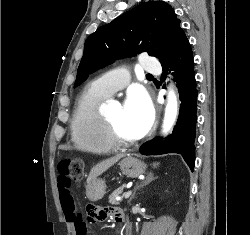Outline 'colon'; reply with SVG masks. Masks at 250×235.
<instances>
[{
  "instance_id": "colon-1",
  "label": "colon",
  "mask_w": 250,
  "mask_h": 235,
  "mask_svg": "<svg viewBox=\"0 0 250 235\" xmlns=\"http://www.w3.org/2000/svg\"><path fill=\"white\" fill-rule=\"evenodd\" d=\"M59 170V186L65 189H70L71 184L73 182H77L82 179L84 174V166L82 159L75 158V159H68L62 160L58 164ZM94 210L96 208H93ZM89 220H91V216L89 214ZM76 233L77 235H85L86 234V227L82 222L76 223Z\"/></svg>"
}]
</instances>
